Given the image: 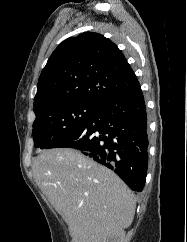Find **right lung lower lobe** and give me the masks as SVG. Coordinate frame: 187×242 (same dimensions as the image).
Returning a JSON list of instances; mask_svg holds the SVG:
<instances>
[{
  "instance_id": "1",
  "label": "right lung lower lobe",
  "mask_w": 187,
  "mask_h": 242,
  "mask_svg": "<svg viewBox=\"0 0 187 242\" xmlns=\"http://www.w3.org/2000/svg\"><path fill=\"white\" fill-rule=\"evenodd\" d=\"M147 147L146 107L139 87L101 104L88 120L47 149L77 150L141 192L147 174Z\"/></svg>"
}]
</instances>
